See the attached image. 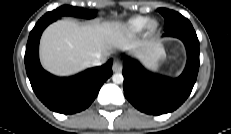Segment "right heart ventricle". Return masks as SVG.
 <instances>
[{
	"instance_id": "right-heart-ventricle-1",
	"label": "right heart ventricle",
	"mask_w": 231,
	"mask_h": 134,
	"mask_svg": "<svg viewBox=\"0 0 231 134\" xmlns=\"http://www.w3.org/2000/svg\"><path fill=\"white\" fill-rule=\"evenodd\" d=\"M149 18L146 16L133 17L126 22L118 25V29L128 35L139 33L148 23Z\"/></svg>"
}]
</instances>
